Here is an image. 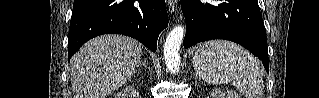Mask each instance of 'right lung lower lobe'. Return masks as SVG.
Segmentation results:
<instances>
[{
  "label": "right lung lower lobe",
  "mask_w": 319,
  "mask_h": 98,
  "mask_svg": "<svg viewBox=\"0 0 319 98\" xmlns=\"http://www.w3.org/2000/svg\"><path fill=\"white\" fill-rule=\"evenodd\" d=\"M168 25L165 0H75L68 38V60L89 39L122 34L156 51L158 35Z\"/></svg>",
  "instance_id": "obj_1"
}]
</instances>
